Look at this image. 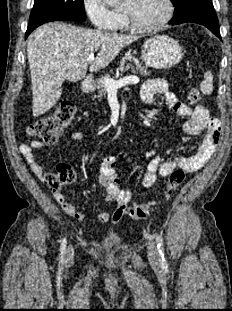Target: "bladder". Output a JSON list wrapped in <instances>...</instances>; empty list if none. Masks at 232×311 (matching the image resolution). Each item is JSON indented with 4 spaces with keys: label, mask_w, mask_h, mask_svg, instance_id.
I'll use <instances>...</instances> for the list:
<instances>
[{
    "label": "bladder",
    "mask_w": 232,
    "mask_h": 311,
    "mask_svg": "<svg viewBox=\"0 0 232 311\" xmlns=\"http://www.w3.org/2000/svg\"><path fill=\"white\" fill-rule=\"evenodd\" d=\"M122 242L121 236L119 234H110L102 239V244L107 249H115Z\"/></svg>",
    "instance_id": "1"
}]
</instances>
